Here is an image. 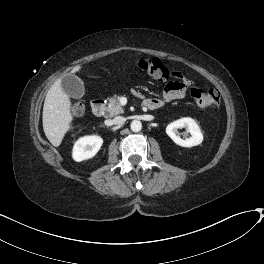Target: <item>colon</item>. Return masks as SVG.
Returning <instances> with one entry per match:
<instances>
[{"mask_svg":"<svg viewBox=\"0 0 264 264\" xmlns=\"http://www.w3.org/2000/svg\"><path fill=\"white\" fill-rule=\"evenodd\" d=\"M137 66L140 70L148 73L157 80L164 81L170 77L168 69L157 58H148L139 60ZM190 97L202 107L219 108L221 105L220 93L217 89L209 87L203 90L199 87H192L189 89ZM83 107L81 105L74 108V116L78 117L82 113Z\"/></svg>","mask_w":264,"mask_h":264,"instance_id":"1","label":"colon"}]
</instances>
